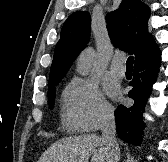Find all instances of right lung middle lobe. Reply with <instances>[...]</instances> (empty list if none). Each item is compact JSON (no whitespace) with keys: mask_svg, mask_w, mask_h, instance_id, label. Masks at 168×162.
I'll use <instances>...</instances> for the list:
<instances>
[{"mask_svg":"<svg viewBox=\"0 0 168 162\" xmlns=\"http://www.w3.org/2000/svg\"><path fill=\"white\" fill-rule=\"evenodd\" d=\"M60 81H57V82H54V83H51L48 85L49 87V90H48V103H49V107L50 109H53L54 108V99H55V96H56V88L55 86L58 85Z\"/></svg>","mask_w":168,"mask_h":162,"instance_id":"obj_1","label":"right lung middle lobe"}]
</instances>
